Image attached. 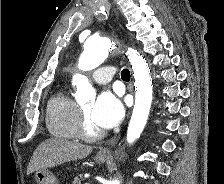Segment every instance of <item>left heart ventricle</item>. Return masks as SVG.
I'll return each instance as SVG.
<instances>
[{
    "mask_svg": "<svg viewBox=\"0 0 224 184\" xmlns=\"http://www.w3.org/2000/svg\"><path fill=\"white\" fill-rule=\"evenodd\" d=\"M82 109H83L84 113L86 114V116L88 117L90 123L92 125H94L95 127H97L90 119V112H91V109H92V105L91 104L85 105V106L82 107Z\"/></svg>",
    "mask_w": 224,
    "mask_h": 184,
    "instance_id": "left-heart-ventricle-1",
    "label": "left heart ventricle"
}]
</instances>
